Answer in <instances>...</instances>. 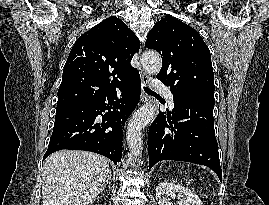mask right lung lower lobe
<instances>
[{
  "label": "right lung lower lobe",
  "mask_w": 269,
  "mask_h": 205,
  "mask_svg": "<svg viewBox=\"0 0 269 205\" xmlns=\"http://www.w3.org/2000/svg\"><path fill=\"white\" fill-rule=\"evenodd\" d=\"M119 91L121 99L115 91L92 100L57 106L53 133L43 159L55 151L70 149L92 151L119 163L125 121L140 99L139 72L126 79ZM99 115L102 122L97 121Z\"/></svg>",
  "instance_id": "obj_1"
}]
</instances>
